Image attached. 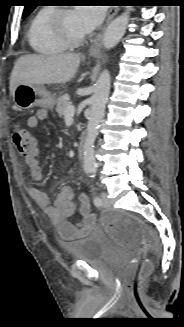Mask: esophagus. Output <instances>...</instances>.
Returning <instances> with one entry per match:
<instances>
[{
  "label": "esophagus",
  "instance_id": "obj_1",
  "mask_svg": "<svg viewBox=\"0 0 184 327\" xmlns=\"http://www.w3.org/2000/svg\"><path fill=\"white\" fill-rule=\"evenodd\" d=\"M118 11V8L116 7H113L109 10V14H108V17H107V20L101 30V32L96 36L94 42L92 43V45L90 46V49H89V54L91 56H96V55H99L100 54V50H101V41H102V36H103V33L107 27V25L110 23V21L114 18V16L116 15Z\"/></svg>",
  "mask_w": 184,
  "mask_h": 327
}]
</instances>
